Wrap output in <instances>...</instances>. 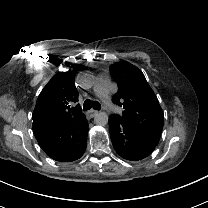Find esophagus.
<instances>
[{
	"label": "esophagus",
	"instance_id": "esophagus-1",
	"mask_svg": "<svg viewBox=\"0 0 208 208\" xmlns=\"http://www.w3.org/2000/svg\"><path fill=\"white\" fill-rule=\"evenodd\" d=\"M97 113H98L97 110H89V111L87 112V114H86V117H87L88 119H91V118H93Z\"/></svg>",
	"mask_w": 208,
	"mask_h": 208
}]
</instances>
